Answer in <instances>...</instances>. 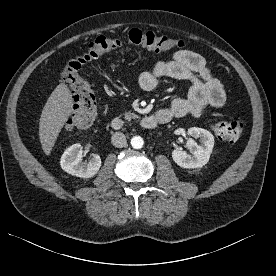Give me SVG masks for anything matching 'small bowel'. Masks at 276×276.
Returning <instances> with one entry per match:
<instances>
[{
  "mask_svg": "<svg viewBox=\"0 0 276 276\" xmlns=\"http://www.w3.org/2000/svg\"><path fill=\"white\" fill-rule=\"evenodd\" d=\"M164 77L191 83L187 97L176 98L168 107L160 110L169 119L185 115L200 117L209 108L221 107L225 103L223 84L212 74L205 59L196 52L186 49L176 51L170 59L157 62L152 71L143 72L138 83L143 90L152 91L159 79Z\"/></svg>",
  "mask_w": 276,
  "mask_h": 276,
  "instance_id": "1",
  "label": "small bowel"
}]
</instances>
